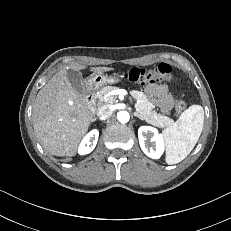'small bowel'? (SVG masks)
<instances>
[{
    "label": "small bowel",
    "mask_w": 231,
    "mask_h": 231,
    "mask_svg": "<svg viewBox=\"0 0 231 231\" xmlns=\"http://www.w3.org/2000/svg\"><path fill=\"white\" fill-rule=\"evenodd\" d=\"M146 94L164 113H169L174 104V98L166 84L151 83L145 87Z\"/></svg>",
    "instance_id": "obj_1"
}]
</instances>
